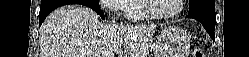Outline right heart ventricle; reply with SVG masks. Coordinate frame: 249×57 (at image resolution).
Here are the masks:
<instances>
[{
    "instance_id": "e07e8e85",
    "label": "right heart ventricle",
    "mask_w": 249,
    "mask_h": 57,
    "mask_svg": "<svg viewBox=\"0 0 249 57\" xmlns=\"http://www.w3.org/2000/svg\"><path fill=\"white\" fill-rule=\"evenodd\" d=\"M125 11L132 20H143L148 18L142 10V0H127L125 3Z\"/></svg>"
}]
</instances>
